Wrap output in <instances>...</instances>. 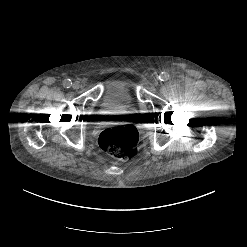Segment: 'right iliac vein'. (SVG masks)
I'll use <instances>...</instances> for the list:
<instances>
[{
	"label": "right iliac vein",
	"instance_id": "right-iliac-vein-1",
	"mask_svg": "<svg viewBox=\"0 0 247 247\" xmlns=\"http://www.w3.org/2000/svg\"><path fill=\"white\" fill-rule=\"evenodd\" d=\"M74 89H79L80 88V83L78 81H75L72 86Z\"/></svg>",
	"mask_w": 247,
	"mask_h": 247
}]
</instances>
